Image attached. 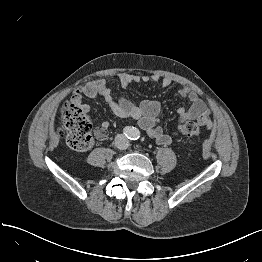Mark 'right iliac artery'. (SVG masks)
<instances>
[{"label": "right iliac artery", "instance_id": "obj_1", "mask_svg": "<svg viewBox=\"0 0 262 262\" xmlns=\"http://www.w3.org/2000/svg\"><path fill=\"white\" fill-rule=\"evenodd\" d=\"M123 133L127 136V137H131L133 134V129L131 127H125L123 129Z\"/></svg>", "mask_w": 262, "mask_h": 262}]
</instances>
